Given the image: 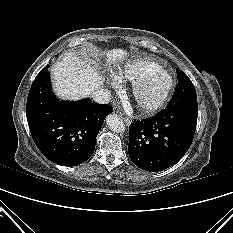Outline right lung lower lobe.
Listing matches in <instances>:
<instances>
[{
    "instance_id": "1",
    "label": "right lung lower lobe",
    "mask_w": 233,
    "mask_h": 233,
    "mask_svg": "<svg viewBox=\"0 0 233 233\" xmlns=\"http://www.w3.org/2000/svg\"><path fill=\"white\" fill-rule=\"evenodd\" d=\"M26 110L38 149L58 165L76 166L93 154L96 136L113 108L89 98L76 102L59 101L51 90L50 74L46 71L35 78Z\"/></svg>"
}]
</instances>
